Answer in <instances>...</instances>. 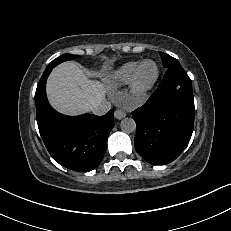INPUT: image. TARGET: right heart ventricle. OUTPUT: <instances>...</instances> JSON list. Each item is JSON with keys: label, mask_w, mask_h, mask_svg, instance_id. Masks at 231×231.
Here are the masks:
<instances>
[{"label": "right heart ventricle", "mask_w": 231, "mask_h": 231, "mask_svg": "<svg viewBox=\"0 0 231 231\" xmlns=\"http://www.w3.org/2000/svg\"><path fill=\"white\" fill-rule=\"evenodd\" d=\"M141 61L128 62L110 75V82L115 87L127 85L131 82L134 72L140 65Z\"/></svg>", "instance_id": "right-heart-ventricle-1"}]
</instances>
